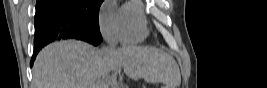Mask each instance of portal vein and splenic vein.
Returning a JSON list of instances; mask_svg holds the SVG:
<instances>
[{
	"mask_svg": "<svg viewBox=\"0 0 267 88\" xmlns=\"http://www.w3.org/2000/svg\"><path fill=\"white\" fill-rule=\"evenodd\" d=\"M116 70L114 71V74H113V78H115L116 76ZM99 88H108V86H99ZM111 88H118L116 82L114 81V79H112V82H111Z\"/></svg>",
	"mask_w": 267,
	"mask_h": 88,
	"instance_id": "obj_1",
	"label": "portal vein and splenic vein"
}]
</instances>
